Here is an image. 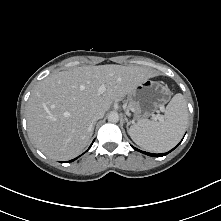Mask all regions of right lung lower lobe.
Wrapping results in <instances>:
<instances>
[{
  "label": "right lung lower lobe",
  "instance_id": "1",
  "mask_svg": "<svg viewBox=\"0 0 221 221\" xmlns=\"http://www.w3.org/2000/svg\"><path fill=\"white\" fill-rule=\"evenodd\" d=\"M76 159V158H75ZM75 159H73V160H71V161H69V162H72V161H74Z\"/></svg>",
  "mask_w": 221,
  "mask_h": 221
}]
</instances>
